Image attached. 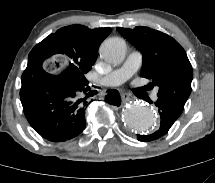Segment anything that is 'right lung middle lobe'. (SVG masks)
I'll list each match as a JSON object with an SVG mask.
<instances>
[{
  "instance_id": "right-lung-middle-lobe-1",
  "label": "right lung middle lobe",
  "mask_w": 215,
  "mask_h": 183,
  "mask_svg": "<svg viewBox=\"0 0 215 183\" xmlns=\"http://www.w3.org/2000/svg\"><path fill=\"white\" fill-rule=\"evenodd\" d=\"M61 55L68 60V67L77 77L84 76L95 63V60L88 57L82 50H75L69 46L63 48Z\"/></svg>"
}]
</instances>
